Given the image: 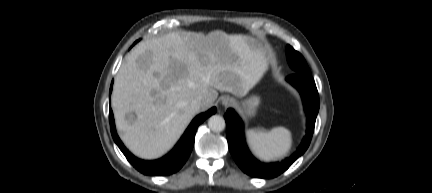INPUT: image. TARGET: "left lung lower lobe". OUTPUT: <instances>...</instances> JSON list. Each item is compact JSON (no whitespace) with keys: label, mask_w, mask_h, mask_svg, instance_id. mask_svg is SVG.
I'll use <instances>...</instances> for the list:
<instances>
[{"label":"left lung lower lobe","mask_w":432,"mask_h":193,"mask_svg":"<svg viewBox=\"0 0 432 193\" xmlns=\"http://www.w3.org/2000/svg\"><path fill=\"white\" fill-rule=\"evenodd\" d=\"M287 81L301 94L307 116V135L298 151L281 163L265 164L258 161L250 153L244 138L243 124L233 109L224 115L227 128V140L230 152L238 166L248 175L259 178H273L284 172L308 148L315 127L319 110L318 91L311 74L295 73L287 77Z\"/></svg>","instance_id":"1"}]
</instances>
